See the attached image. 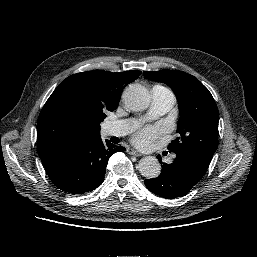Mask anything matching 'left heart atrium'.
Returning a JSON list of instances; mask_svg holds the SVG:
<instances>
[{"mask_svg":"<svg viewBox=\"0 0 257 257\" xmlns=\"http://www.w3.org/2000/svg\"><path fill=\"white\" fill-rule=\"evenodd\" d=\"M162 131L159 127H143L139 129L133 136V142L142 148L151 147Z\"/></svg>","mask_w":257,"mask_h":257,"instance_id":"obj_1","label":"left heart atrium"}]
</instances>
